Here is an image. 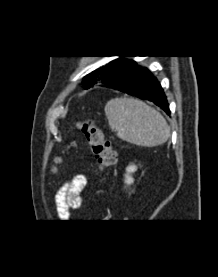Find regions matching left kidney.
Instances as JSON below:
<instances>
[{
  "mask_svg": "<svg viewBox=\"0 0 218 277\" xmlns=\"http://www.w3.org/2000/svg\"><path fill=\"white\" fill-rule=\"evenodd\" d=\"M137 170V166L136 165H129L126 168V174H125V179H124V183L125 184H132L134 182V178L132 177V174Z\"/></svg>",
  "mask_w": 218,
  "mask_h": 277,
  "instance_id": "1",
  "label": "left kidney"
}]
</instances>
